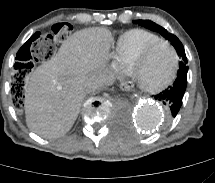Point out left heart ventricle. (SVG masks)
Returning <instances> with one entry per match:
<instances>
[{
    "mask_svg": "<svg viewBox=\"0 0 215 183\" xmlns=\"http://www.w3.org/2000/svg\"><path fill=\"white\" fill-rule=\"evenodd\" d=\"M174 68V54L167 45L154 48L148 57L136 66L139 83L145 87H156L168 80Z\"/></svg>",
    "mask_w": 215,
    "mask_h": 183,
    "instance_id": "left-heart-ventricle-1",
    "label": "left heart ventricle"
}]
</instances>
